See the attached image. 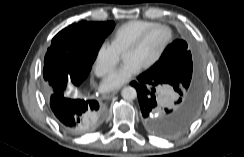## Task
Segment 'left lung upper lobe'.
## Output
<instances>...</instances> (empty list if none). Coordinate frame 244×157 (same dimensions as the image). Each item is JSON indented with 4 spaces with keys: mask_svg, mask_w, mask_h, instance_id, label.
Masks as SVG:
<instances>
[{
    "mask_svg": "<svg viewBox=\"0 0 244 157\" xmlns=\"http://www.w3.org/2000/svg\"><path fill=\"white\" fill-rule=\"evenodd\" d=\"M146 72L162 76L176 92L187 91L186 96L198 91L202 85V77L184 40H176L168 45L160 59Z\"/></svg>",
    "mask_w": 244,
    "mask_h": 157,
    "instance_id": "obj_1",
    "label": "left lung upper lobe"
}]
</instances>
